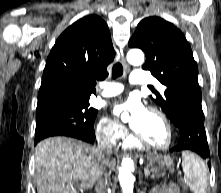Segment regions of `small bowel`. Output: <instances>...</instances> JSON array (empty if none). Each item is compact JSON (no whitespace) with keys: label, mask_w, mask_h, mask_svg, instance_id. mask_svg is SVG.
Listing matches in <instances>:
<instances>
[{"label":"small bowel","mask_w":221,"mask_h":193,"mask_svg":"<svg viewBox=\"0 0 221 193\" xmlns=\"http://www.w3.org/2000/svg\"><path fill=\"white\" fill-rule=\"evenodd\" d=\"M152 193H180V190L176 185H169L158 187Z\"/></svg>","instance_id":"small-bowel-1"}]
</instances>
